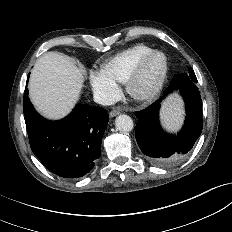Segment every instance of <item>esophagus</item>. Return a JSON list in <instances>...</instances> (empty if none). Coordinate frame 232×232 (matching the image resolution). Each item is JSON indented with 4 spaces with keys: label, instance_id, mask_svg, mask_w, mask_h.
<instances>
[{
    "label": "esophagus",
    "instance_id": "1",
    "mask_svg": "<svg viewBox=\"0 0 232 232\" xmlns=\"http://www.w3.org/2000/svg\"><path fill=\"white\" fill-rule=\"evenodd\" d=\"M119 114H120V110L119 109H113L109 113L110 117H115V116H117Z\"/></svg>",
    "mask_w": 232,
    "mask_h": 232
}]
</instances>
